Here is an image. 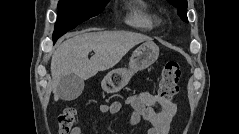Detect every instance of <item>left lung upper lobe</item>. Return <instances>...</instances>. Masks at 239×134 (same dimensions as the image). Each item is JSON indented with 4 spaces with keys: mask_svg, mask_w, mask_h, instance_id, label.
<instances>
[{
    "mask_svg": "<svg viewBox=\"0 0 239 134\" xmlns=\"http://www.w3.org/2000/svg\"><path fill=\"white\" fill-rule=\"evenodd\" d=\"M170 4L178 8V15L180 18L188 22L186 11H187V0H167Z\"/></svg>",
    "mask_w": 239,
    "mask_h": 134,
    "instance_id": "left-lung-upper-lobe-1",
    "label": "left lung upper lobe"
}]
</instances>
